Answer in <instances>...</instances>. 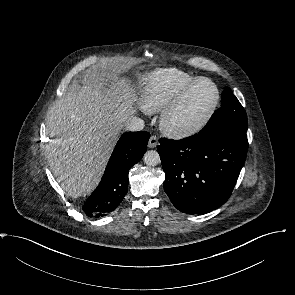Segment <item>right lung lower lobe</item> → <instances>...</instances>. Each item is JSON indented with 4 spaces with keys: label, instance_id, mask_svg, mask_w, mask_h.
Segmentation results:
<instances>
[{
    "label": "right lung lower lobe",
    "instance_id": "right-lung-lower-lobe-1",
    "mask_svg": "<svg viewBox=\"0 0 295 295\" xmlns=\"http://www.w3.org/2000/svg\"><path fill=\"white\" fill-rule=\"evenodd\" d=\"M150 138L146 131L126 132L111 155L102 180L86 200L83 211L89 217H102L114 211L128 189L129 169L141 160Z\"/></svg>",
    "mask_w": 295,
    "mask_h": 295
}]
</instances>
